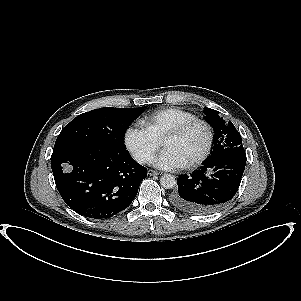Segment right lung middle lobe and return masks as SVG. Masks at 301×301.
Returning a JSON list of instances; mask_svg holds the SVG:
<instances>
[{
  "mask_svg": "<svg viewBox=\"0 0 301 301\" xmlns=\"http://www.w3.org/2000/svg\"><path fill=\"white\" fill-rule=\"evenodd\" d=\"M143 108L95 109L78 115L62 129L54 148L76 143H99L125 151L124 134Z\"/></svg>",
  "mask_w": 301,
  "mask_h": 301,
  "instance_id": "obj_1",
  "label": "right lung middle lobe"
}]
</instances>
